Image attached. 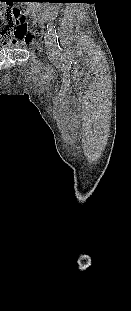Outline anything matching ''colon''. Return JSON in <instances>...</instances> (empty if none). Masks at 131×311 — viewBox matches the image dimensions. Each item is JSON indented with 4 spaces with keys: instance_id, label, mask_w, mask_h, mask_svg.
I'll use <instances>...</instances> for the list:
<instances>
[{
    "instance_id": "1",
    "label": "colon",
    "mask_w": 131,
    "mask_h": 311,
    "mask_svg": "<svg viewBox=\"0 0 131 311\" xmlns=\"http://www.w3.org/2000/svg\"><path fill=\"white\" fill-rule=\"evenodd\" d=\"M3 26H6L7 39L10 38V32H12L17 27H22L23 29L28 28V22L24 14L17 8H4L0 5V33L3 31ZM18 33V31H17Z\"/></svg>"
}]
</instances>
